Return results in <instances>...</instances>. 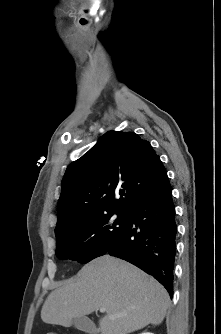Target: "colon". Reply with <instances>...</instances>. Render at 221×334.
Here are the masks:
<instances>
[{
	"label": "colon",
	"mask_w": 221,
	"mask_h": 334,
	"mask_svg": "<svg viewBox=\"0 0 221 334\" xmlns=\"http://www.w3.org/2000/svg\"><path fill=\"white\" fill-rule=\"evenodd\" d=\"M47 334H55V333H47Z\"/></svg>",
	"instance_id": "obj_1"
}]
</instances>
